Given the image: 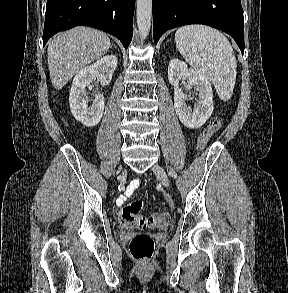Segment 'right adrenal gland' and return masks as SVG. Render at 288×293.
I'll use <instances>...</instances> for the list:
<instances>
[{
  "label": "right adrenal gland",
  "mask_w": 288,
  "mask_h": 293,
  "mask_svg": "<svg viewBox=\"0 0 288 293\" xmlns=\"http://www.w3.org/2000/svg\"><path fill=\"white\" fill-rule=\"evenodd\" d=\"M112 46L116 48V46L114 44Z\"/></svg>",
  "instance_id": "2a0ac1e0"
}]
</instances>
